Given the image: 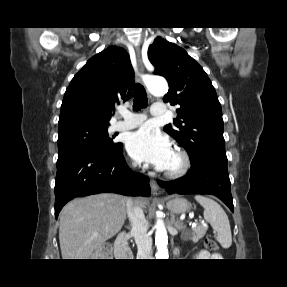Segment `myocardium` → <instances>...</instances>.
Listing matches in <instances>:
<instances>
[{
    "instance_id": "obj_1",
    "label": "myocardium",
    "mask_w": 287,
    "mask_h": 287,
    "mask_svg": "<svg viewBox=\"0 0 287 287\" xmlns=\"http://www.w3.org/2000/svg\"><path fill=\"white\" fill-rule=\"evenodd\" d=\"M173 153L178 156L179 165L174 169H164L163 173L167 178L176 179L188 173L191 168V158L188 152L181 148H175Z\"/></svg>"
}]
</instances>
